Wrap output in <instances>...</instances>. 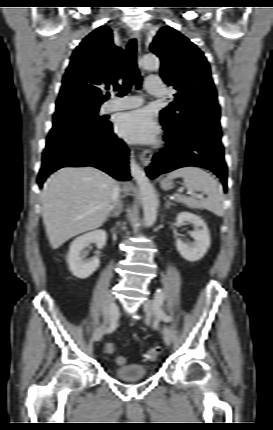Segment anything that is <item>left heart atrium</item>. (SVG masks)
<instances>
[{
    "label": "left heart atrium",
    "instance_id": "left-heart-atrium-1",
    "mask_svg": "<svg viewBox=\"0 0 273 430\" xmlns=\"http://www.w3.org/2000/svg\"><path fill=\"white\" fill-rule=\"evenodd\" d=\"M117 130L128 141H153L158 134V127L148 109L123 114L118 120Z\"/></svg>",
    "mask_w": 273,
    "mask_h": 430
}]
</instances>
